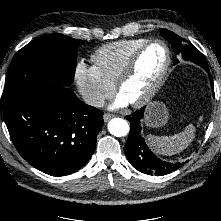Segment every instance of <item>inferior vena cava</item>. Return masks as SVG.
<instances>
[{
    "label": "inferior vena cava",
    "mask_w": 221,
    "mask_h": 221,
    "mask_svg": "<svg viewBox=\"0 0 221 221\" xmlns=\"http://www.w3.org/2000/svg\"><path fill=\"white\" fill-rule=\"evenodd\" d=\"M84 102L92 106H102L104 104V98L94 91H84L82 93Z\"/></svg>",
    "instance_id": "1"
}]
</instances>
